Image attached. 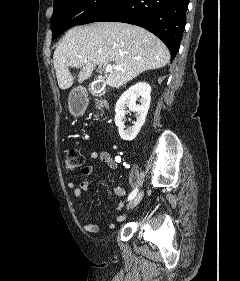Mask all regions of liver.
Here are the masks:
<instances>
[{
	"label": "liver",
	"instance_id": "1",
	"mask_svg": "<svg viewBox=\"0 0 240 281\" xmlns=\"http://www.w3.org/2000/svg\"><path fill=\"white\" fill-rule=\"evenodd\" d=\"M169 60V50L158 37L142 27L118 22L73 27L53 55L62 90L73 84L70 68L80 69L78 83H82L96 66H121L122 70H112L106 78L107 85L119 88L147 70L164 67Z\"/></svg>",
	"mask_w": 240,
	"mask_h": 281
}]
</instances>
